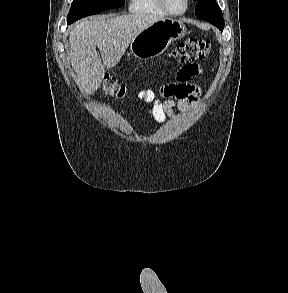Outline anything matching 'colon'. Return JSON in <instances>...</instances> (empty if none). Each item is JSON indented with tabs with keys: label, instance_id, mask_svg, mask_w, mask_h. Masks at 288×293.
<instances>
[{
	"label": "colon",
	"instance_id": "1",
	"mask_svg": "<svg viewBox=\"0 0 288 293\" xmlns=\"http://www.w3.org/2000/svg\"><path fill=\"white\" fill-rule=\"evenodd\" d=\"M211 44L209 40L200 38H189L177 45L169 54L180 64H190L198 60H205L210 57ZM103 91L112 98L124 97L126 88L114 76L107 75L103 79Z\"/></svg>",
	"mask_w": 288,
	"mask_h": 293
}]
</instances>
